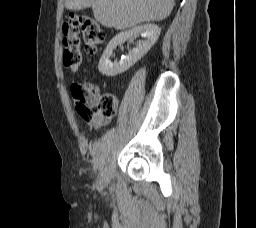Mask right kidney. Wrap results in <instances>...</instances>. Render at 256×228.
Instances as JSON below:
<instances>
[{
  "mask_svg": "<svg viewBox=\"0 0 256 228\" xmlns=\"http://www.w3.org/2000/svg\"><path fill=\"white\" fill-rule=\"evenodd\" d=\"M161 29L155 24H144L132 28L129 31L121 32L116 35L107 45L103 55L100 58L98 69L101 74L107 77H114L131 68L139 61L156 43L159 38ZM141 35L144 40L140 41L136 48L129 51L128 55L119 62H111L110 57L113 50L125 40Z\"/></svg>",
  "mask_w": 256,
  "mask_h": 228,
  "instance_id": "1",
  "label": "right kidney"
}]
</instances>
